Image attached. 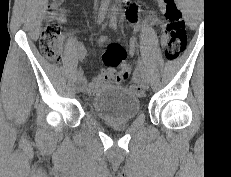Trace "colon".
Listing matches in <instances>:
<instances>
[{
    "label": "colon",
    "mask_w": 231,
    "mask_h": 177,
    "mask_svg": "<svg viewBox=\"0 0 231 177\" xmlns=\"http://www.w3.org/2000/svg\"><path fill=\"white\" fill-rule=\"evenodd\" d=\"M57 0H51L54 5ZM165 8V27L163 40L165 41V57L169 61L177 59L185 50L187 43V33L185 24L182 19L180 10L174 0H163ZM40 49L44 57L54 63H61L62 57V40L61 29L55 21H50L43 28L40 36ZM126 58L125 51L117 44L108 47L103 55V61L107 65H118ZM130 89L140 92V88L131 85Z\"/></svg>",
    "instance_id": "5ec220e1"
}]
</instances>
